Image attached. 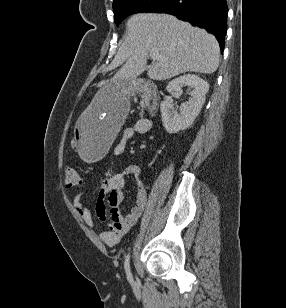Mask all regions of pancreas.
I'll return each mask as SVG.
<instances>
[{
  "label": "pancreas",
  "instance_id": "1",
  "mask_svg": "<svg viewBox=\"0 0 286 308\" xmlns=\"http://www.w3.org/2000/svg\"><path fill=\"white\" fill-rule=\"evenodd\" d=\"M140 106L142 108V111L140 113V115H143V110L147 107H149V98L146 94L142 95V100L140 101Z\"/></svg>",
  "mask_w": 286,
  "mask_h": 308
}]
</instances>
